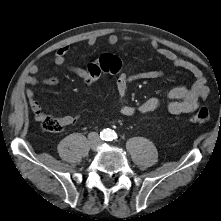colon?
<instances>
[{"mask_svg": "<svg viewBox=\"0 0 221 221\" xmlns=\"http://www.w3.org/2000/svg\"><path fill=\"white\" fill-rule=\"evenodd\" d=\"M121 68V60L119 57L110 54L102 55L96 62L88 66L89 76L86 79L87 83H92L97 80L102 73L110 72L116 73ZM210 119V112L208 108L202 107L189 118V122L193 124H205ZM41 125L44 130L48 132H60L63 130L64 125L60 118L45 114L42 116Z\"/></svg>", "mask_w": 221, "mask_h": 221, "instance_id": "1", "label": "colon"}]
</instances>
